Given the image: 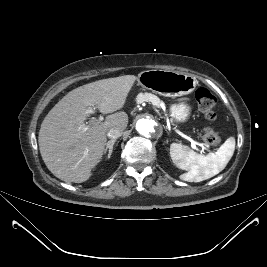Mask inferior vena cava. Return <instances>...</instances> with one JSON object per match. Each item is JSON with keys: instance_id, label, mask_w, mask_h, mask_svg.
I'll return each instance as SVG.
<instances>
[{"instance_id": "obj_1", "label": "inferior vena cava", "mask_w": 267, "mask_h": 267, "mask_svg": "<svg viewBox=\"0 0 267 267\" xmlns=\"http://www.w3.org/2000/svg\"><path fill=\"white\" fill-rule=\"evenodd\" d=\"M123 130L124 129L119 126H114L109 129V131L107 132V136L109 138L116 139L122 135Z\"/></svg>"}]
</instances>
